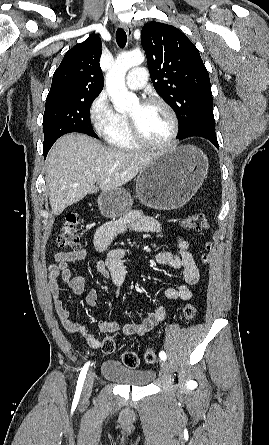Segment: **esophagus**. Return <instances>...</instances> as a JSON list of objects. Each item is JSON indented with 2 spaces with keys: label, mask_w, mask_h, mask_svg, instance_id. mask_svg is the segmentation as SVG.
I'll return each instance as SVG.
<instances>
[{
  "label": "esophagus",
  "mask_w": 269,
  "mask_h": 445,
  "mask_svg": "<svg viewBox=\"0 0 269 445\" xmlns=\"http://www.w3.org/2000/svg\"><path fill=\"white\" fill-rule=\"evenodd\" d=\"M121 27L126 31L128 38L132 37L133 29L130 24L122 23Z\"/></svg>",
  "instance_id": "esophagus-1"
}]
</instances>
